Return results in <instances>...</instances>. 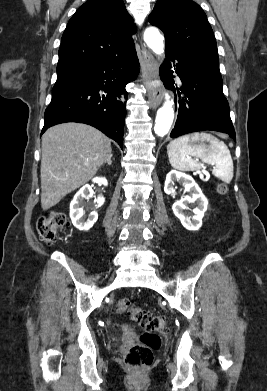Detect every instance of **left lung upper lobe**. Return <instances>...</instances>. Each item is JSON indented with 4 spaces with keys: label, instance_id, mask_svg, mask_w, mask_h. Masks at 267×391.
Masks as SVG:
<instances>
[{
    "label": "left lung upper lobe",
    "instance_id": "obj_1",
    "mask_svg": "<svg viewBox=\"0 0 267 391\" xmlns=\"http://www.w3.org/2000/svg\"><path fill=\"white\" fill-rule=\"evenodd\" d=\"M149 22L165 35V47L219 66L216 40L202 8L191 0H158Z\"/></svg>",
    "mask_w": 267,
    "mask_h": 391
}]
</instances>
